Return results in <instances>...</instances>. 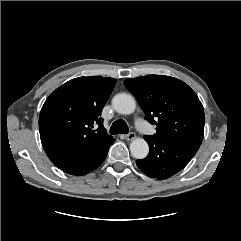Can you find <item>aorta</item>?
Returning <instances> with one entry per match:
<instances>
[{"label": "aorta", "instance_id": "aorta-1", "mask_svg": "<svg viewBox=\"0 0 241 241\" xmlns=\"http://www.w3.org/2000/svg\"><path fill=\"white\" fill-rule=\"evenodd\" d=\"M112 105L120 114H131L135 111V99L127 93H119L112 99ZM130 151L134 158L143 159L148 155L149 146L143 138H136L130 143Z\"/></svg>", "mask_w": 241, "mask_h": 241}]
</instances>
